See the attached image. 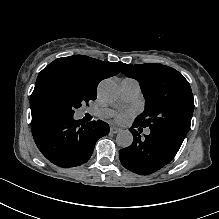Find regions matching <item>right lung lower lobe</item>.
I'll list each match as a JSON object with an SVG mask.
<instances>
[{
  "label": "right lung lower lobe",
  "mask_w": 219,
  "mask_h": 219,
  "mask_svg": "<svg viewBox=\"0 0 219 219\" xmlns=\"http://www.w3.org/2000/svg\"><path fill=\"white\" fill-rule=\"evenodd\" d=\"M31 114L37 147L49 161L64 168L87 162L97 140L110 131L101 120L84 124L52 107H31Z\"/></svg>",
  "instance_id": "obj_1"
}]
</instances>
